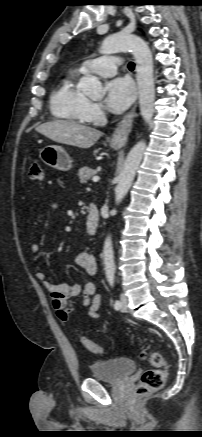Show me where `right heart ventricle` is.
<instances>
[{"label": "right heart ventricle", "instance_id": "1", "mask_svg": "<svg viewBox=\"0 0 202 437\" xmlns=\"http://www.w3.org/2000/svg\"><path fill=\"white\" fill-rule=\"evenodd\" d=\"M81 70L66 75L50 96V110L54 117L74 123L91 121L88 114L89 99L77 88L76 80Z\"/></svg>", "mask_w": 202, "mask_h": 437}]
</instances>
